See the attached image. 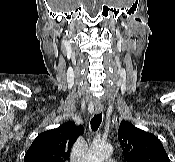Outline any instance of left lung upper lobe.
<instances>
[{"instance_id":"obj_1","label":"left lung upper lobe","mask_w":175,"mask_h":162,"mask_svg":"<svg viewBox=\"0 0 175 162\" xmlns=\"http://www.w3.org/2000/svg\"><path fill=\"white\" fill-rule=\"evenodd\" d=\"M118 140L127 162H169L161 141L127 121L120 124Z\"/></svg>"}]
</instances>
